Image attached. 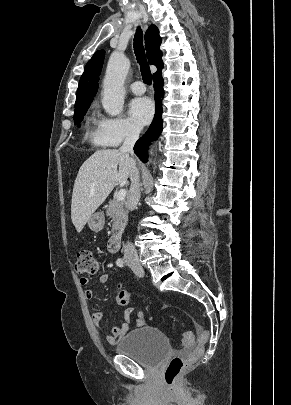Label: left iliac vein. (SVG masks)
I'll use <instances>...</instances> for the list:
<instances>
[{
  "label": "left iliac vein",
  "instance_id": "left-iliac-vein-1",
  "mask_svg": "<svg viewBox=\"0 0 291 405\" xmlns=\"http://www.w3.org/2000/svg\"><path fill=\"white\" fill-rule=\"evenodd\" d=\"M132 270L139 277H142L144 275V270L140 266H132Z\"/></svg>",
  "mask_w": 291,
  "mask_h": 405
}]
</instances>
